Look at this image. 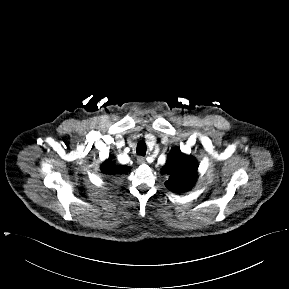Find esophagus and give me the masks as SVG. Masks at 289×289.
Masks as SVG:
<instances>
[{"label":"esophagus","instance_id":"esophagus-1","mask_svg":"<svg viewBox=\"0 0 289 289\" xmlns=\"http://www.w3.org/2000/svg\"><path fill=\"white\" fill-rule=\"evenodd\" d=\"M137 162H138V164H145L146 160L143 156H138Z\"/></svg>","mask_w":289,"mask_h":289}]
</instances>
